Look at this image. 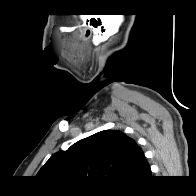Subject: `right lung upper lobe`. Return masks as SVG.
<instances>
[{
    "mask_svg": "<svg viewBox=\"0 0 196 196\" xmlns=\"http://www.w3.org/2000/svg\"><path fill=\"white\" fill-rule=\"evenodd\" d=\"M151 173L137 143L118 130H104L52 155L36 175L52 184L94 187L139 184Z\"/></svg>",
    "mask_w": 196,
    "mask_h": 196,
    "instance_id": "right-lung-upper-lobe-1",
    "label": "right lung upper lobe"
}]
</instances>
